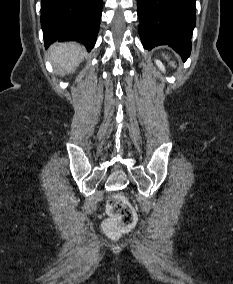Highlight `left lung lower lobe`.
<instances>
[{
	"instance_id": "left-lung-lower-lobe-1",
	"label": "left lung lower lobe",
	"mask_w": 233,
	"mask_h": 284,
	"mask_svg": "<svg viewBox=\"0 0 233 284\" xmlns=\"http://www.w3.org/2000/svg\"><path fill=\"white\" fill-rule=\"evenodd\" d=\"M196 0H137L139 34L145 49L168 45L186 60L191 52Z\"/></svg>"
}]
</instances>
